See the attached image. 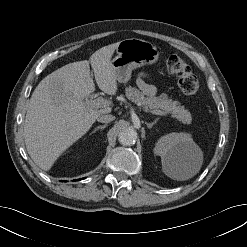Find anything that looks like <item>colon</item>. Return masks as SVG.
Returning a JSON list of instances; mask_svg holds the SVG:
<instances>
[{"instance_id":"obj_1","label":"colon","mask_w":247,"mask_h":247,"mask_svg":"<svg viewBox=\"0 0 247 247\" xmlns=\"http://www.w3.org/2000/svg\"><path fill=\"white\" fill-rule=\"evenodd\" d=\"M167 71L176 76L181 91L187 95H193L198 91L197 77L192 73L189 65L179 56L171 55L166 62Z\"/></svg>"}]
</instances>
